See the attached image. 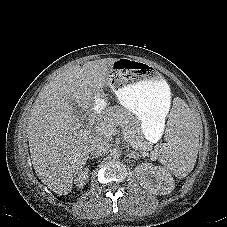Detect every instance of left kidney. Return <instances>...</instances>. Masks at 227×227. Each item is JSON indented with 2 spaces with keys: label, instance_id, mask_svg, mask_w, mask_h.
<instances>
[{
  "label": "left kidney",
  "instance_id": "left-kidney-1",
  "mask_svg": "<svg viewBox=\"0 0 227 227\" xmlns=\"http://www.w3.org/2000/svg\"><path fill=\"white\" fill-rule=\"evenodd\" d=\"M134 171L140 185L152 194L167 195L175 188L173 177L161 166L141 163L135 167Z\"/></svg>",
  "mask_w": 227,
  "mask_h": 227
}]
</instances>
